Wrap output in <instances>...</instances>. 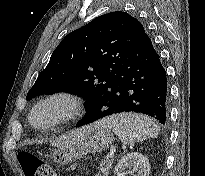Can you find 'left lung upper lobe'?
Returning <instances> with one entry per match:
<instances>
[{
	"label": "left lung upper lobe",
	"mask_w": 205,
	"mask_h": 176,
	"mask_svg": "<svg viewBox=\"0 0 205 176\" xmlns=\"http://www.w3.org/2000/svg\"><path fill=\"white\" fill-rule=\"evenodd\" d=\"M145 35L126 12H111L69 33L51 55L27 99L55 92L83 96L86 110L117 77L122 64Z\"/></svg>",
	"instance_id": "left-lung-upper-lobe-1"
}]
</instances>
